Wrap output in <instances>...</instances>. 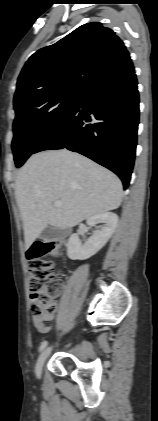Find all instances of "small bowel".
<instances>
[{"mask_svg": "<svg viewBox=\"0 0 158 421\" xmlns=\"http://www.w3.org/2000/svg\"><path fill=\"white\" fill-rule=\"evenodd\" d=\"M52 316H48L44 319L37 318L33 315L32 321L36 329L40 333H47L50 331V325L48 324L49 321H51Z\"/></svg>", "mask_w": 158, "mask_h": 421, "instance_id": "small-bowel-1", "label": "small bowel"}]
</instances>
